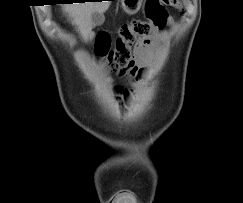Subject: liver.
<instances>
[{
	"instance_id": "liver-1",
	"label": "liver",
	"mask_w": 243,
	"mask_h": 203,
	"mask_svg": "<svg viewBox=\"0 0 243 203\" xmlns=\"http://www.w3.org/2000/svg\"><path fill=\"white\" fill-rule=\"evenodd\" d=\"M110 6L109 1L73 3L65 7V10L73 18L83 39L87 42L94 38L92 32V14L98 12L103 14Z\"/></svg>"
}]
</instances>
